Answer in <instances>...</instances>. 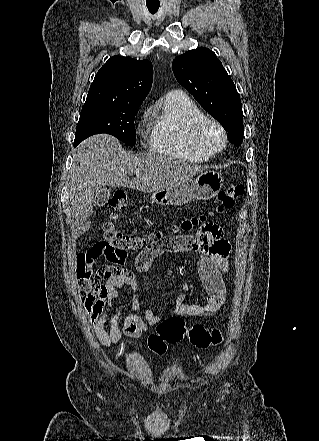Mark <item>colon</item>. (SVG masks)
Returning a JSON list of instances; mask_svg holds the SVG:
<instances>
[{"label":"colon","instance_id":"5ec220e1","mask_svg":"<svg viewBox=\"0 0 319 441\" xmlns=\"http://www.w3.org/2000/svg\"><path fill=\"white\" fill-rule=\"evenodd\" d=\"M243 193L242 185H231L219 193L217 202L209 209L208 213L197 210L186 217L175 227V230L189 231L200 225L204 226L208 218L231 210ZM108 206L113 211L124 210L127 206L125 193L123 191L114 192L108 200ZM155 237V235L124 234L116 228L112 221H107L103 226V240L100 244L103 247V254L108 260L123 264L129 253L145 247ZM77 276L80 287L89 288L92 283L90 266L77 265ZM185 335L188 336L192 345L202 349L218 346L223 340L222 332L219 329L209 330L200 324L186 329L181 317L172 316L159 322L156 331L149 335L147 345L152 352L162 355L166 352L169 344L178 343Z\"/></svg>","mask_w":319,"mask_h":441}]
</instances>
